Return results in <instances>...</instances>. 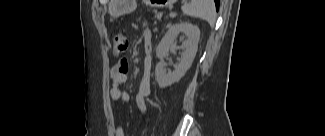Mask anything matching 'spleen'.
Wrapping results in <instances>:
<instances>
[{"label":"spleen","mask_w":325,"mask_h":136,"mask_svg":"<svg viewBox=\"0 0 325 136\" xmlns=\"http://www.w3.org/2000/svg\"><path fill=\"white\" fill-rule=\"evenodd\" d=\"M185 15L207 21L211 27L216 21V9L213 0H191L182 6Z\"/></svg>","instance_id":"obj_1"}]
</instances>
